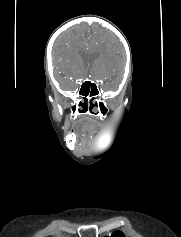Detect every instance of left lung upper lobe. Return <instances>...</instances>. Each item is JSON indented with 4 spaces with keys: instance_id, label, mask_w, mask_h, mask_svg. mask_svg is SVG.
<instances>
[{
    "instance_id": "1",
    "label": "left lung upper lobe",
    "mask_w": 181,
    "mask_h": 237,
    "mask_svg": "<svg viewBox=\"0 0 181 237\" xmlns=\"http://www.w3.org/2000/svg\"><path fill=\"white\" fill-rule=\"evenodd\" d=\"M111 237H125L124 234L120 231L114 232Z\"/></svg>"
}]
</instances>
